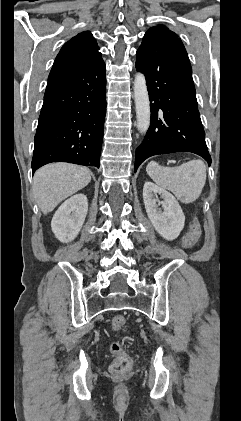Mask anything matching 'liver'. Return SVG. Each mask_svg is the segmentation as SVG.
<instances>
[{
	"label": "liver",
	"mask_w": 241,
	"mask_h": 421,
	"mask_svg": "<svg viewBox=\"0 0 241 421\" xmlns=\"http://www.w3.org/2000/svg\"><path fill=\"white\" fill-rule=\"evenodd\" d=\"M91 181L88 168L68 163H52L38 169L33 177V195L43 212L48 214L72 194Z\"/></svg>",
	"instance_id": "liver-1"
}]
</instances>
